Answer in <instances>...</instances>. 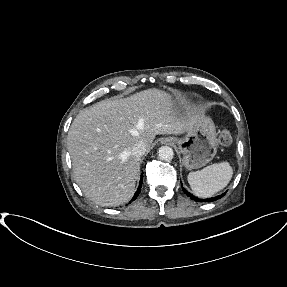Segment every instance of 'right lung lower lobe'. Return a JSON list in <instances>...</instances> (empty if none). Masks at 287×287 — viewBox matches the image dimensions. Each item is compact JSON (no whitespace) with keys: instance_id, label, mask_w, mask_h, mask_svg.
<instances>
[{"instance_id":"right-lung-lower-lobe-1","label":"right lung lower lobe","mask_w":287,"mask_h":287,"mask_svg":"<svg viewBox=\"0 0 287 287\" xmlns=\"http://www.w3.org/2000/svg\"><path fill=\"white\" fill-rule=\"evenodd\" d=\"M142 179H143V175H141V179H140V183H139V187L138 190L136 191V193L134 194L133 198L131 201H134L137 196L139 195L140 191H141V187H142Z\"/></svg>"}]
</instances>
